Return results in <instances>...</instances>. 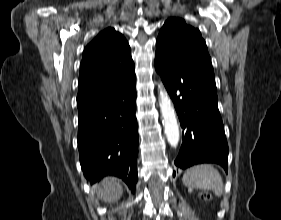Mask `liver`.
Returning a JSON list of instances; mask_svg holds the SVG:
<instances>
[{
	"mask_svg": "<svg viewBox=\"0 0 281 220\" xmlns=\"http://www.w3.org/2000/svg\"><path fill=\"white\" fill-rule=\"evenodd\" d=\"M93 190L98 194L100 199L108 203L117 201L123 193L122 186L114 177L103 179Z\"/></svg>",
	"mask_w": 281,
	"mask_h": 220,
	"instance_id": "liver-1",
	"label": "liver"
}]
</instances>
